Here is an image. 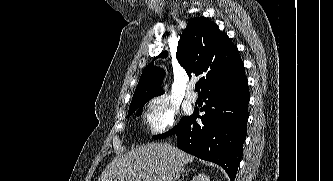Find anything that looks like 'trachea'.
<instances>
[{
    "label": "trachea",
    "mask_w": 333,
    "mask_h": 181,
    "mask_svg": "<svg viewBox=\"0 0 333 181\" xmlns=\"http://www.w3.org/2000/svg\"><path fill=\"white\" fill-rule=\"evenodd\" d=\"M195 90H196L197 92L200 91V85H199V83H197V84L195 85Z\"/></svg>",
    "instance_id": "3493384b"
}]
</instances>
